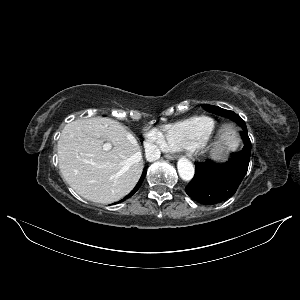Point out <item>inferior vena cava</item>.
<instances>
[{
    "instance_id": "inferior-vena-cava-1",
    "label": "inferior vena cava",
    "mask_w": 300,
    "mask_h": 300,
    "mask_svg": "<svg viewBox=\"0 0 300 300\" xmlns=\"http://www.w3.org/2000/svg\"><path fill=\"white\" fill-rule=\"evenodd\" d=\"M145 150H146V157L149 161H154L159 159L161 152L156 145L148 144L146 145Z\"/></svg>"
}]
</instances>
